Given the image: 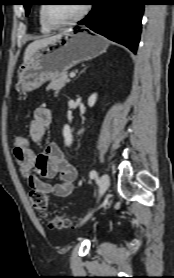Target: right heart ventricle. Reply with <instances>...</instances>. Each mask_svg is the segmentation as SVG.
I'll use <instances>...</instances> for the list:
<instances>
[{
  "label": "right heart ventricle",
  "mask_w": 174,
  "mask_h": 278,
  "mask_svg": "<svg viewBox=\"0 0 174 278\" xmlns=\"http://www.w3.org/2000/svg\"><path fill=\"white\" fill-rule=\"evenodd\" d=\"M41 11H42V7H40V9H39V15H38V17H39L40 31H41L42 33H44V34H48V33L51 32L52 29H51L49 26H47V24L44 22V20H43V18H42V13H41Z\"/></svg>",
  "instance_id": "1"
}]
</instances>
